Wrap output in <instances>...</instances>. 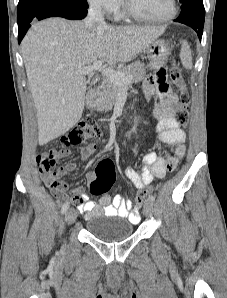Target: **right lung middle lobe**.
Segmentation results:
<instances>
[{"instance_id": "dd1d6c3e", "label": "right lung middle lobe", "mask_w": 227, "mask_h": 298, "mask_svg": "<svg viewBox=\"0 0 227 298\" xmlns=\"http://www.w3.org/2000/svg\"><path fill=\"white\" fill-rule=\"evenodd\" d=\"M47 1H62L73 5L82 6L88 8L87 0H19L17 15L30 9L31 7Z\"/></svg>"}]
</instances>
